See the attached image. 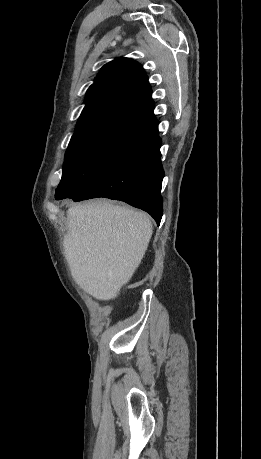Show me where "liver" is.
<instances>
[{"instance_id":"obj_1","label":"liver","mask_w":261,"mask_h":459,"mask_svg":"<svg viewBox=\"0 0 261 459\" xmlns=\"http://www.w3.org/2000/svg\"><path fill=\"white\" fill-rule=\"evenodd\" d=\"M63 246L77 283L98 300L117 297L140 265L152 236L147 214L96 200L67 211Z\"/></svg>"}]
</instances>
